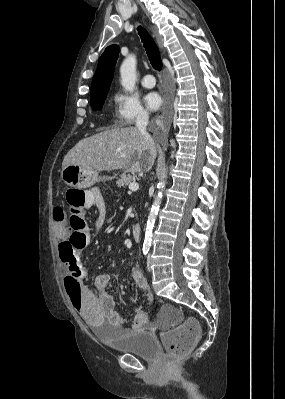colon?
<instances>
[{"instance_id":"1","label":"colon","mask_w":285,"mask_h":399,"mask_svg":"<svg viewBox=\"0 0 285 399\" xmlns=\"http://www.w3.org/2000/svg\"><path fill=\"white\" fill-rule=\"evenodd\" d=\"M85 192L69 190L65 196L64 207L69 213L63 214L70 229L68 238L59 246L60 259L67 265H74L78 251L91 241V230L87 225L83 204ZM66 292L76 307L80 304L82 288L78 282L65 279ZM201 330L194 320L180 321L163 332L162 338L167 347L164 362L169 367L178 358L188 354L199 340Z\"/></svg>"}]
</instances>
